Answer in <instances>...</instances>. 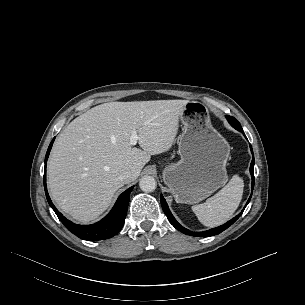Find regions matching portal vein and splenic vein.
I'll list each match as a JSON object with an SVG mask.
<instances>
[{
    "instance_id": "1",
    "label": "portal vein and splenic vein",
    "mask_w": 305,
    "mask_h": 305,
    "mask_svg": "<svg viewBox=\"0 0 305 305\" xmlns=\"http://www.w3.org/2000/svg\"><path fill=\"white\" fill-rule=\"evenodd\" d=\"M138 135H137V132L135 130L132 131V134H131V138H130V144L132 146L136 145L137 144V141H138Z\"/></svg>"
}]
</instances>
